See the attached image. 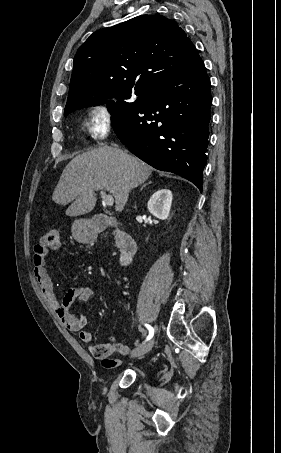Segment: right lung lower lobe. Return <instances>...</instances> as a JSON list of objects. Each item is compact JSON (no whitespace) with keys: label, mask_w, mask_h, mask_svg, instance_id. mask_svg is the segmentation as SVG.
Here are the masks:
<instances>
[{"label":"right lung lower lobe","mask_w":281,"mask_h":453,"mask_svg":"<svg viewBox=\"0 0 281 453\" xmlns=\"http://www.w3.org/2000/svg\"><path fill=\"white\" fill-rule=\"evenodd\" d=\"M210 79L200 56L133 103H107L113 129L130 152L202 191L210 121Z\"/></svg>","instance_id":"right-lung-lower-lobe-1"}]
</instances>
